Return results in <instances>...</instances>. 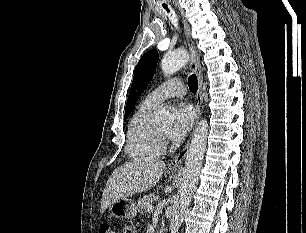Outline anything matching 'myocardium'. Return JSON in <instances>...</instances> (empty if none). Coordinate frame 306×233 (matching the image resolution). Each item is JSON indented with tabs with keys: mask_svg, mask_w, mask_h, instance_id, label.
Listing matches in <instances>:
<instances>
[{
	"mask_svg": "<svg viewBox=\"0 0 306 233\" xmlns=\"http://www.w3.org/2000/svg\"><path fill=\"white\" fill-rule=\"evenodd\" d=\"M158 134H159V136H160V138H161L162 141L166 139V134L162 133V132L159 131V130H158Z\"/></svg>",
	"mask_w": 306,
	"mask_h": 233,
	"instance_id": "1",
	"label": "myocardium"
}]
</instances>
